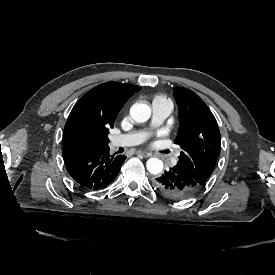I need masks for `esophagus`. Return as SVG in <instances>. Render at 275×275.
I'll use <instances>...</instances> for the list:
<instances>
[{
    "mask_svg": "<svg viewBox=\"0 0 275 275\" xmlns=\"http://www.w3.org/2000/svg\"><path fill=\"white\" fill-rule=\"evenodd\" d=\"M137 154H141L145 158H148V157H150L152 155L151 153L143 151V150L137 151Z\"/></svg>",
    "mask_w": 275,
    "mask_h": 275,
    "instance_id": "34e87169",
    "label": "esophagus"
}]
</instances>
